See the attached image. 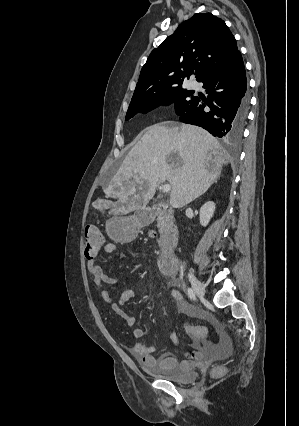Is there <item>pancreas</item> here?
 <instances>
[{
  "label": "pancreas",
  "mask_w": 299,
  "mask_h": 426,
  "mask_svg": "<svg viewBox=\"0 0 299 426\" xmlns=\"http://www.w3.org/2000/svg\"><path fill=\"white\" fill-rule=\"evenodd\" d=\"M157 223H158V227H159V231H160V233H163V232H164V230H165V227H164V225L162 224V219L158 218Z\"/></svg>",
  "instance_id": "pancreas-1"
}]
</instances>
